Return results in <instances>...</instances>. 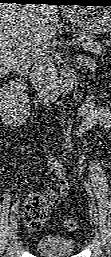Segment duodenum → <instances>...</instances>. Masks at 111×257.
Masks as SVG:
<instances>
[{
  "mask_svg": "<svg viewBox=\"0 0 111 257\" xmlns=\"http://www.w3.org/2000/svg\"><path fill=\"white\" fill-rule=\"evenodd\" d=\"M66 83L65 84H61V85H59V86H57V90H63L65 87H66Z\"/></svg>",
  "mask_w": 111,
  "mask_h": 257,
  "instance_id": "1",
  "label": "duodenum"
}]
</instances>
